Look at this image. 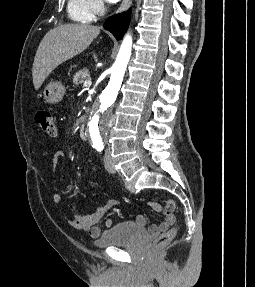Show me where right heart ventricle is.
Returning <instances> with one entry per match:
<instances>
[{
  "label": "right heart ventricle",
  "mask_w": 255,
  "mask_h": 287,
  "mask_svg": "<svg viewBox=\"0 0 255 287\" xmlns=\"http://www.w3.org/2000/svg\"><path fill=\"white\" fill-rule=\"evenodd\" d=\"M86 33H101V32H86ZM87 39H94V38H87ZM112 39V38H110ZM106 48H121V47H106Z\"/></svg>",
  "instance_id": "obj_1"
}]
</instances>
